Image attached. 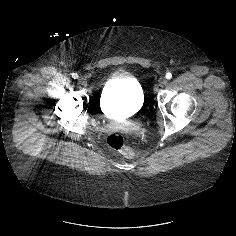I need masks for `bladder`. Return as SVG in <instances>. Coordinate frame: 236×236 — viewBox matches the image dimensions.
<instances>
[{"instance_id": "obj_1", "label": "bladder", "mask_w": 236, "mask_h": 236, "mask_svg": "<svg viewBox=\"0 0 236 236\" xmlns=\"http://www.w3.org/2000/svg\"><path fill=\"white\" fill-rule=\"evenodd\" d=\"M144 92L141 84L134 77L127 76L123 80L112 78L103 88L100 107L103 112L113 114H134L142 109Z\"/></svg>"}]
</instances>
